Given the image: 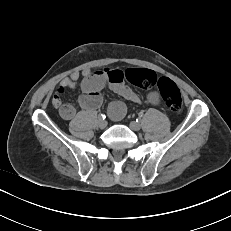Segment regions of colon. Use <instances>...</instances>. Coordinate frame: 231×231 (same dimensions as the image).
I'll return each instance as SVG.
<instances>
[{
	"mask_svg": "<svg viewBox=\"0 0 231 231\" xmlns=\"http://www.w3.org/2000/svg\"><path fill=\"white\" fill-rule=\"evenodd\" d=\"M126 82L141 88H156L163 99L166 107L173 111L179 112L182 109V97L180 90L174 82L165 77H157V75L147 69H128L124 72Z\"/></svg>",
	"mask_w": 231,
	"mask_h": 231,
	"instance_id": "1",
	"label": "colon"
}]
</instances>
